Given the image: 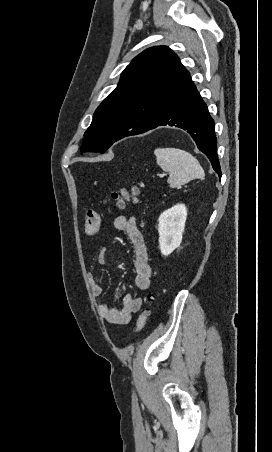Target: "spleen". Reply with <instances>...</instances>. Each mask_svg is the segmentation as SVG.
Masks as SVG:
<instances>
[{"label": "spleen", "mask_w": 272, "mask_h": 452, "mask_svg": "<svg viewBox=\"0 0 272 452\" xmlns=\"http://www.w3.org/2000/svg\"><path fill=\"white\" fill-rule=\"evenodd\" d=\"M157 164L169 173L167 182L171 188L181 186L196 178L205 176L198 160L185 150L157 148L154 151Z\"/></svg>", "instance_id": "spleen-1"}]
</instances>
